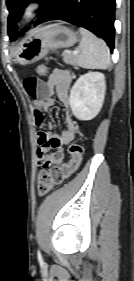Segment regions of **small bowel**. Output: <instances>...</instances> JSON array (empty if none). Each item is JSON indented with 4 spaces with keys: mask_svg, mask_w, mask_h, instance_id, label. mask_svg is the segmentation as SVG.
<instances>
[{
    "mask_svg": "<svg viewBox=\"0 0 134 281\" xmlns=\"http://www.w3.org/2000/svg\"><path fill=\"white\" fill-rule=\"evenodd\" d=\"M71 82V74L61 69H54L46 81L35 76L23 80L24 89L33 100L34 121L39 128L37 159L43 168L62 164L65 159L64 146L75 137L76 126L71 116H66V125L60 134L52 132V126L45 116V112L55 104L54 95L63 104H68Z\"/></svg>",
    "mask_w": 134,
    "mask_h": 281,
    "instance_id": "small-bowel-1",
    "label": "small bowel"
}]
</instances>
